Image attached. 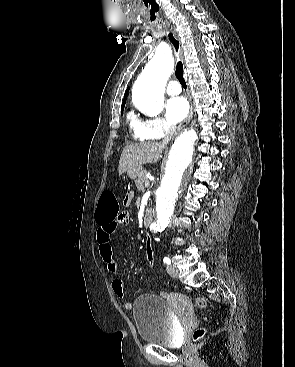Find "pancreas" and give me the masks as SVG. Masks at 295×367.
<instances>
[{
  "mask_svg": "<svg viewBox=\"0 0 295 367\" xmlns=\"http://www.w3.org/2000/svg\"><path fill=\"white\" fill-rule=\"evenodd\" d=\"M147 176L144 172L141 173L139 178L135 181L136 187L138 190L143 191L144 190V184L147 181Z\"/></svg>",
  "mask_w": 295,
  "mask_h": 367,
  "instance_id": "obj_1",
  "label": "pancreas"
}]
</instances>
